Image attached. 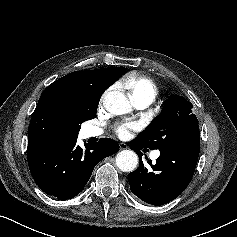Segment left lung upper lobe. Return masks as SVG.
Segmentation results:
<instances>
[{
  "label": "left lung upper lobe",
  "mask_w": 237,
  "mask_h": 237,
  "mask_svg": "<svg viewBox=\"0 0 237 237\" xmlns=\"http://www.w3.org/2000/svg\"><path fill=\"white\" fill-rule=\"evenodd\" d=\"M192 104L179 95L171 96L162 113L136 138L149 149H170L178 146L194 130L198 120Z\"/></svg>",
  "instance_id": "1"
}]
</instances>
